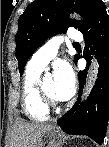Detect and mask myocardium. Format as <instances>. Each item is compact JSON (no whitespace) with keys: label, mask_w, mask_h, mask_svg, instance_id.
Listing matches in <instances>:
<instances>
[{"label":"myocardium","mask_w":109,"mask_h":147,"mask_svg":"<svg viewBox=\"0 0 109 147\" xmlns=\"http://www.w3.org/2000/svg\"><path fill=\"white\" fill-rule=\"evenodd\" d=\"M39 95L41 97L43 105L48 110H56L58 108L57 101L49 96L42 88L41 85L38 86Z\"/></svg>","instance_id":"obj_1"}]
</instances>
